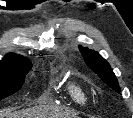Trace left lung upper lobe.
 Segmentation results:
<instances>
[{"label": "left lung upper lobe", "mask_w": 133, "mask_h": 118, "mask_svg": "<svg viewBox=\"0 0 133 118\" xmlns=\"http://www.w3.org/2000/svg\"><path fill=\"white\" fill-rule=\"evenodd\" d=\"M79 50L88 67L91 68L107 85L117 92H120L118 81L109 63L94 50H90L87 47H80Z\"/></svg>", "instance_id": "obj_1"}]
</instances>
